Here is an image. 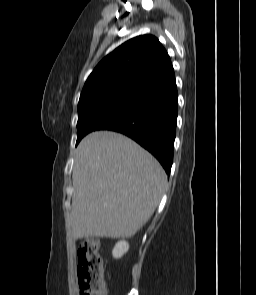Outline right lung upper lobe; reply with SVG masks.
Returning <instances> with one entry per match:
<instances>
[{"mask_svg": "<svg viewBox=\"0 0 256 295\" xmlns=\"http://www.w3.org/2000/svg\"><path fill=\"white\" fill-rule=\"evenodd\" d=\"M172 66L169 55L152 35L128 40L107 55L89 75L78 105L112 96L137 93Z\"/></svg>", "mask_w": 256, "mask_h": 295, "instance_id": "obj_1", "label": "right lung upper lobe"}]
</instances>
